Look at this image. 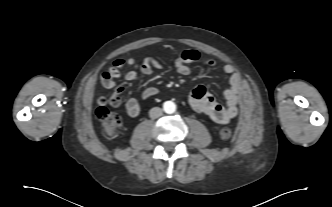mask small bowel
<instances>
[{
    "label": "small bowel",
    "mask_w": 332,
    "mask_h": 207,
    "mask_svg": "<svg viewBox=\"0 0 332 207\" xmlns=\"http://www.w3.org/2000/svg\"><path fill=\"white\" fill-rule=\"evenodd\" d=\"M201 55L196 50H185L175 59V67L179 74L189 75V64L200 61ZM205 65L215 66L216 62L213 60H202ZM129 66L132 69L125 75L127 81H134L138 77V73L149 75L152 70L163 69V64L158 56L147 55L143 58L141 64H136L134 59H118L108 71L104 72L101 77L102 85L106 88H113L116 85L117 79L120 77V69ZM223 72L228 76L229 88L225 91V105L218 103L212 94L205 86L198 85L190 90L189 99L193 109L218 124H226L230 122L238 113L239 95L241 89V78L235 68L226 64L223 67ZM123 88L119 87L115 93L121 96ZM158 93L156 87H149L142 93L144 100L149 99ZM126 112L131 117H136L140 113V106L135 98H130L125 104Z\"/></svg>",
    "instance_id": "1"
}]
</instances>
